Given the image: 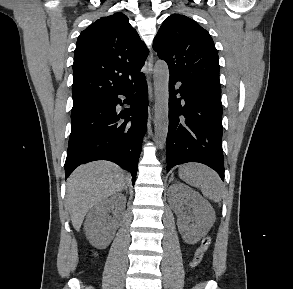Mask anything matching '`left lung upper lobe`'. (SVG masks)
Returning <instances> with one entry per match:
<instances>
[{"instance_id":"5c2ea615","label":"left lung upper lobe","mask_w":293,"mask_h":289,"mask_svg":"<svg viewBox=\"0 0 293 289\" xmlns=\"http://www.w3.org/2000/svg\"><path fill=\"white\" fill-rule=\"evenodd\" d=\"M169 74L221 90L218 53L209 33L197 22L172 14L161 25L153 43Z\"/></svg>"}]
</instances>
